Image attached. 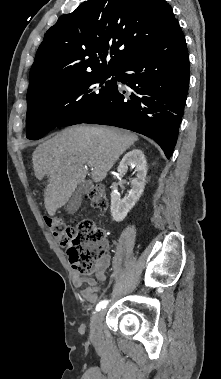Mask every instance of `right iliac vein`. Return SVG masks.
Listing matches in <instances>:
<instances>
[{"mask_svg": "<svg viewBox=\"0 0 221 379\" xmlns=\"http://www.w3.org/2000/svg\"><path fill=\"white\" fill-rule=\"evenodd\" d=\"M104 317V311L98 312L91 318L90 332L93 339H97L101 333V325Z\"/></svg>", "mask_w": 221, "mask_h": 379, "instance_id": "right-iliac-vein-1", "label": "right iliac vein"}]
</instances>
